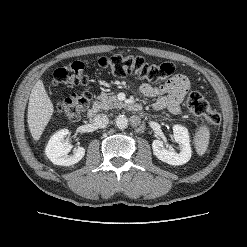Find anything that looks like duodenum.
Instances as JSON below:
<instances>
[{
	"label": "duodenum",
	"instance_id": "duodenum-1",
	"mask_svg": "<svg viewBox=\"0 0 247 247\" xmlns=\"http://www.w3.org/2000/svg\"><path fill=\"white\" fill-rule=\"evenodd\" d=\"M129 109L133 112H141L143 107L140 103H132L129 105ZM99 112H100V106L98 104H94L89 108L87 112V116L89 118H92L96 116Z\"/></svg>",
	"mask_w": 247,
	"mask_h": 247
}]
</instances>
